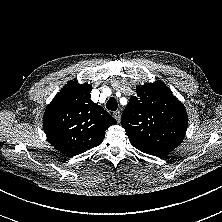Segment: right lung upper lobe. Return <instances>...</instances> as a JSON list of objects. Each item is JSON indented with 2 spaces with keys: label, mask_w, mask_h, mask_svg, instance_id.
Returning <instances> with one entry per match:
<instances>
[{
  "label": "right lung upper lobe",
  "mask_w": 222,
  "mask_h": 222,
  "mask_svg": "<svg viewBox=\"0 0 222 222\" xmlns=\"http://www.w3.org/2000/svg\"><path fill=\"white\" fill-rule=\"evenodd\" d=\"M92 86L68 82L48 105L43 127L55 149L71 157L100 145L116 120L91 100Z\"/></svg>",
  "instance_id": "obj_1"
}]
</instances>
